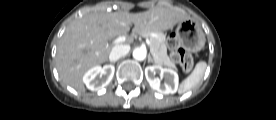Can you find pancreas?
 I'll list each match as a JSON object with an SVG mask.
<instances>
[{
  "label": "pancreas",
  "mask_w": 276,
  "mask_h": 120,
  "mask_svg": "<svg viewBox=\"0 0 276 120\" xmlns=\"http://www.w3.org/2000/svg\"><path fill=\"white\" fill-rule=\"evenodd\" d=\"M150 43V51L155 59V62L159 65H164L176 70L175 64L167 55V47L165 45L164 37L161 34H159V37H151Z\"/></svg>",
  "instance_id": "1"
}]
</instances>
